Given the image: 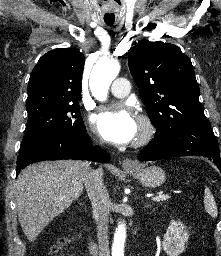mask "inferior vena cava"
<instances>
[{
    "label": "inferior vena cava",
    "instance_id": "602c4592",
    "mask_svg": "<svg viewBox=\"0 0 221 256\" xmlns=\"http://www.w3.org/2000/svg\"><path fill=\"white\" fill-rule=\"evenodd\" d=\"M102 176L103 172L101 169L91 170L89 168L83 178V182L91 201L93 217L97 224L99 256H110L108 238L110 199Z\"/></svg>",
    "mask_w": 221,
    "mask_h": 256
}]
</instances>
